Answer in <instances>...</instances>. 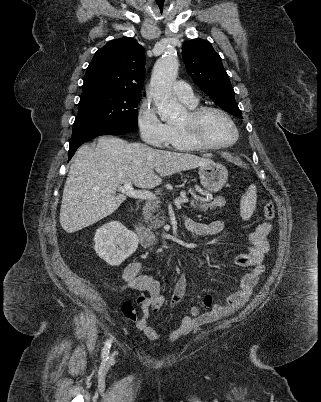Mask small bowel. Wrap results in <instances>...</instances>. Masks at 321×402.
Returning a JSON list of instances; mask_svg holds the SVG:
<instances>
[{
	"label": "small bowel",
	"instance_id": "small-bowel-1",
	"mask_svg": "<svg viewBox=\"0 0 321 402\" xmlns=\"http://www.w3.org/2000/svg\"><path fill=\"white\" fill-rule=\"evenodd\" d=\"M184 224L188 232L200 237L214 236L224 231V224L221 221L201 223L192 219H186ZM270 230L271 226L268 223L259 224L249 234L251 246L248 252L236 256V265L249 269L243 276L238 288L228 295L224 303H213L211 296L206 295L203 299V305L207 310L201 312L198 307H192L190 315L183 316L177 328L169 335L170 341L177 340L179 337L188 334L201 325L216 322L233 313L246 303L260 276L265 271L263 261L270 247L267 239ZM140 271V263H129L123 271L122 288L145 291L148 294V298L141 305V317L136 322V327L150 341H157L160 336L149 324L148 318L151 312L158 311L163 306L165 297L161 293L160 284L152 277L142 275ZM185 291L186 284L184 277L181 275L175 285L171 298L170 306L172 309L181 303L185 296ZM206 302L209 305L206 306Z\"/></svg>",
	"mask_w": 321,
	"mask_h": 402
}]
</instances>
